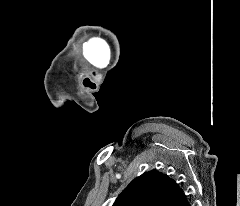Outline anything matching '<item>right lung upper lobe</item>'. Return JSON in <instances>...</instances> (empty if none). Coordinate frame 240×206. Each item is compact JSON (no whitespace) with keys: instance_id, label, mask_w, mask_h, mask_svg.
<instances>
[{"instance_id":"cb5924a9","label":"right lung upper lobe","mask_w":240,"mask_h":206,"mask_svg":"<svg viewBox=\"0 0 240 206\" xmlns=\"http://www.w3.org/2000/svg\"><path fill=\"white\" fill-rule=\"evenodd\" d=\"M113 206H189L178 184L152 170L133 180Z\"/></svg>"}]
</instances>
